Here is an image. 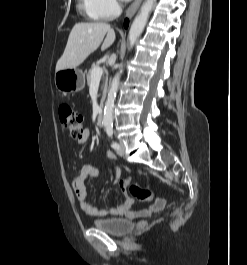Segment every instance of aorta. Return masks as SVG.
<instances>
[{
	"instance_id": "1",
	"label": "aorta",
	"mask_w": 247,
	"mask_h": 265,
	"mask_svg": "<svg viewBox=\"0 0 247 265\" xmlns=\"http://www.w3.org/2000/svg\"><path fill=\"white\" fill-rule=\"evenodd\" d=\"M155 0H146L139 11V14L135 17L129 31L128 40L130 48L133 47L137 39L141 36L149 15L152 11ZM122 74V67H120L118 73L114 76L111 82V86L108 92V97L104 107L103 124L105 126H111L113 124V106L114 100L118 91L120 77Z\"/></svg>"
}]
</instances>
